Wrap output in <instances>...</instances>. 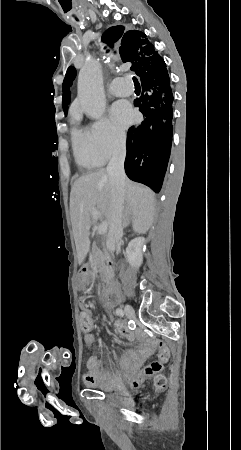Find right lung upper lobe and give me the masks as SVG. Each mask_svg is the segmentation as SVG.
<instances>
[{
  "label": "right lung upper lobe",
  "mask_w": 241,
  "mask_h": 450,
  "mask_svg": "<svg viewBox=\"0 0 241 450\" xmlns=\"http://www.w3.org/2000/svg\"><path fill=\"white\" fill-rule=\"evenodd\" d=\"M124 27L114 26L105 31L102 40L109 46L119 40L118 53L123 62H131V70L138 72L145 65L156 64L162 61V57L154 49L146 35L140 31L132 30L123 34ZM76 75L74 67H69L65 79Z\"/></svg>",
  "instance_id": "right-lung-upper-lobe-1"
}]
</instances>
